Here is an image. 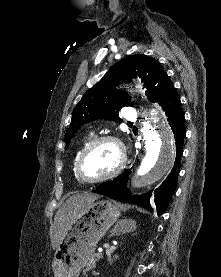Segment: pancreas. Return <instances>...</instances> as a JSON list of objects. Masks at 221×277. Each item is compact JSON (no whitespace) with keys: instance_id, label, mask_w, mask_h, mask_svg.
<instances>
[{"instance_id":"pancreas-1","label":"pancreas","mask_w":221,"mask_h":277,"mask_svg":"<svg viewBox=\"0 0 221 277\" xmlns=\"http://www.w3.org/2000/svg\"><path fill=\"white\" fill-rule=\"evenodd\" d=\"M97 255H94L90 260L89 262L87 263L86 265V270L89 271V270H92L96 267V262L98 261V259H96ZM98 257V256H97Z\"/></svg>"}]
</instances>
